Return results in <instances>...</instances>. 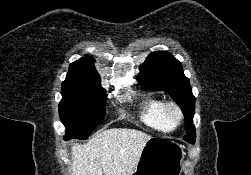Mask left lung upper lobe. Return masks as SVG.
<instances>
[{
  "label": "left lung upper lobe",
  "mask_w": 251,
  "mask_h": 175,
  "mask_svg": "<svg viewBox=\"0 0 251 175\" xmlns=\"http://www.w3.org/2000/svg\"><path fill=\"white\" fill-rule=\"evenodd\" d=\"M140 70L137 80L144 90H163L180 106L185 115L186 135L183 139L193 144L196 138L193 125L195 97L181 63L167 51H155L146 58Z\"/></svg>",
  "instance_id": "left-lung-upper-lobe-1"
}]
</instances>
